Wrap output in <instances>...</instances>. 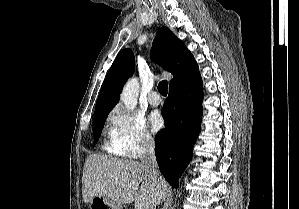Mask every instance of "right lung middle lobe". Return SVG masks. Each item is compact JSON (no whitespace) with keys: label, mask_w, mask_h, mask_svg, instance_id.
<instances>
[{"label":"right lung middle lobe","mask_w":299,"mask_h":209,"mask_svg":"<svg viewBox=\"0 0 299 209\" xmlns=\"http://www.w3.org/2000/svg\"><path fill=\"white\" fill-rule=\"evenodd\" d=\"M108 113L109 112L94 114V144L100 137V131L104 126Z\"/></svg>","instance_id":"obj_1"}]
</instances>
